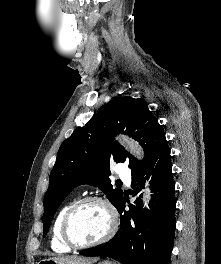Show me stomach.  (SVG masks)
Returning a JSON list of instances; mask_svg holds the SVG:
<instances>
[{"mask_svg": "<svg viewBox=\"0 0 221 264\" xmlns=\"http://www.w3.org/2000/svg\"><path fill=\"white\" fill-rule=\"evenodd\" d=\"M37 264H69V263H62L58 260L48 258V259L40 260ZM98 264H114V263H112L110 261H102V262H99Z\"/></svg>", "mask_w": 221, "mask_h": 264, "instance_id": "stomach-1", "label": "stomach"}]
</instances>
